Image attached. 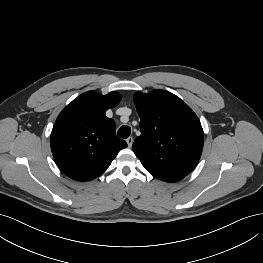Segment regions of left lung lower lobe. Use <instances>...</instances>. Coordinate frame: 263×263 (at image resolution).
<instances>
[{
  "label": "left lung lower lobe",
  "instance_id": "left-lung-lower-lobe-1",
  "mask_svg": "<svg viewBox=\"0 0 263 263\" xmlns=\"http://www.w3.org/2000/svg\"><path fill=\"white\" fill-rule=\"evenodd\" d=\"M185 176L187 175L179 171H176L174 169H167L162 175L158 176L157 179H160L166 182H176V181L183 179Z\"/></svg>",
  "mask_w": 263,
  "mask_h": 263
}]
</instances>
